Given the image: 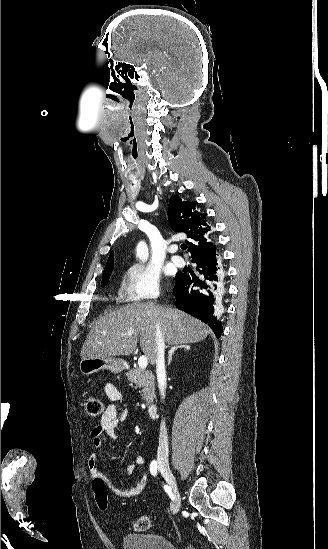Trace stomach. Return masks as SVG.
<instances>
[{
  "mask_svg": "<svg viewBox=\"0 0 328 549\" xmlns=\"http://www.w3.org/2000/svg\"><path fill=\"white\" fill-rule=\"evenodd\" d=\"M102 369L111 373H122L124 369H128V363L116 357H92V359H81L79 363V371L82 375H92Z\"/></svg>",
  "mask_w": 328,
  "mask_h": 549,
  "instance_id": "0dacf381",
  "label": "stomach"
}]
</instances>
